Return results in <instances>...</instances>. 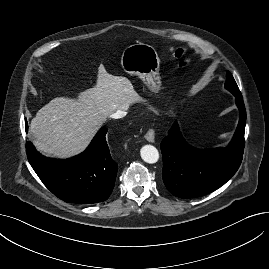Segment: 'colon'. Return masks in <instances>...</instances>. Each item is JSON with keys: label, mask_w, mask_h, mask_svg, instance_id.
Listing matches in <instances>:
<instances>
[{"label": "colon", "mask_w": 269, "mask_h": 269, "mask_svg": "<svg viewBox=\"0 0 269 269\" xmlns=\"http://www.w3.org/2000/svg\"><path fill=\"white\" fill-rule=\"evenodd\" d=\"M188 49L186 48H174L173 54L176 58L179 59V66L185 68L189 66L192 60L188 57Z\"/></svg>", "instance_id": "1"}]
</instances>
